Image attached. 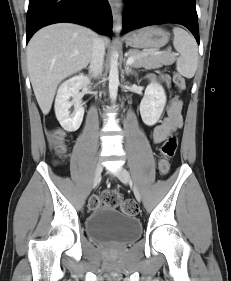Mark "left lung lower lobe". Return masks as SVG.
Listing matches in <instances>:
<instances>
[{
	"instance_id": "0a47b994",
	"label": "left lung lower lobe",
	"mask_w": 231,
	"mask_h": 281,
	"mask_svg": "<svg viewBox=\"0 0 231 281\" xmlns=\"http://www.w3.org/2000/svg\"><path fill=\"white\" fill-rule=\"evenodd\" d=\"M122 33L147 25L177 23L188 28L199 44L195 0H126Z\"/></svg>"
}]
</instances>
